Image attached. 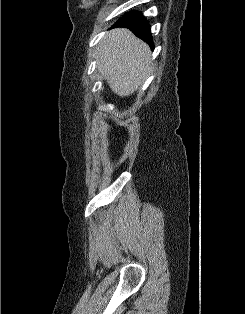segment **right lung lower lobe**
I'll use <instances>...</instances> for the list:
<instances>
[{
  "mask_svg": "<svg viewBox=\"0 0 245 314\" xmlns=\"http://www.w3.org/2000/svg\"><path fill=\"white\" fill-rule=\"evenodd\" d=\"M113 27L129 28L136 36L147 42L152 49L154 48L150 33V26L141 13H127L120 20H118Z\"/></svg>",
  "mask_w": 245,
  "mask_h": 314,
  "instance_id": "1",
  "label": "right lung lower lobe"
}]
</instances>
